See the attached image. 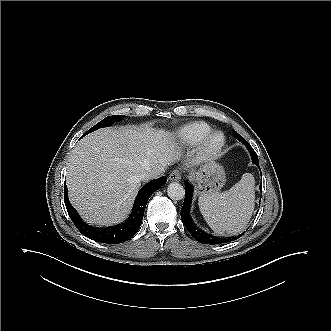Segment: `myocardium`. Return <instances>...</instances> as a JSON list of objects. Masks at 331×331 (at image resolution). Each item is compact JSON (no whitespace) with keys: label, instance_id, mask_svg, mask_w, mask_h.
Masks as SVG:
<instances>
[{"label":"myocardium","instance_id":"obj_1","mask_svg":"<svg viewBox=\"0 0 331 331\" xmlns=\"http://www.w3.org/2000/svg\"><path fill=\"white\" fill-rule=\"evenodd\" d=\"M225 143L226 139L222 132L212 131L199 143L197 154L201 160L212 159L219 155Z\"/></svg>","mask_w":331,"mask_h":331}]
</instances>
